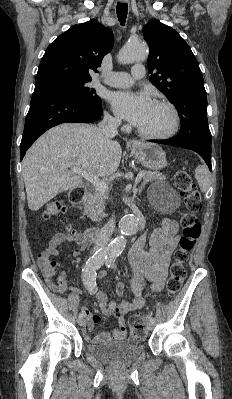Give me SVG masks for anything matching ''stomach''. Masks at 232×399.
I'll return each mask as SVG.
<instances>
[{
  "instance_id": "0dacf381",
  "label": "stomach",
  "mask_w": 232,
  "mask_h": 399,
  "mask_svg": "<svg viewBox=\"0 0 232 399\" xmlns=\"http://www.w3.org/2000/svg\"><path fill=\"white\" fill-rule=\"evenodd\" d=\"M131 156L134 162H140L148 170H162L167 166L164 150L148 142H134L131 146Z\"/></svg>"
}]
</instances>
